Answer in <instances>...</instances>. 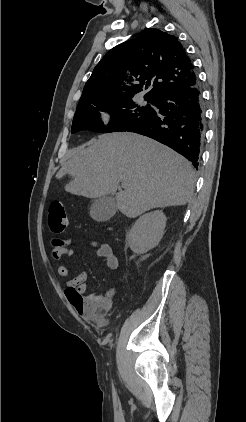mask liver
<instances>
[{
  "label": "liver",
  "mask_w": 246,
  "mask_h": 422,
  "mask_svg": "<svg viewBox=\"0 0 246 422\" xmlns=\"http://www.w3.org/2000/svg\"><path fill=\"white\" fill-rule=\"evenodd\" d=\"M67 174L73 179L66 192L87 198L115 195L118 209L129 218L153 208L185 205L195 185V172L183 156L127 132L100 135L79 147L56 178Z\"/></svg>",
  "instance_id": "1"
}]
</instances>
